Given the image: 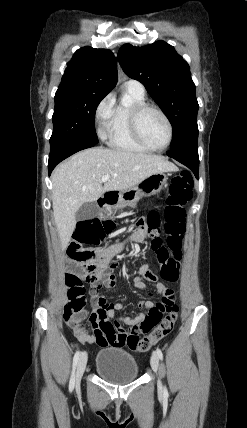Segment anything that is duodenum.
I'll use <instances>...</instances> for the list:
<instances>
[{
    "label": "duodenum",
    "instance_id": "duodenum-1",
    "mask_svg": "<svg viewBox=\"0 0 247 428\" xmlns=\"http://www.w3.org/2000/svg\"><path fill=\"white\" fill-rule=\"evenodd\" d=\"M117 193L115 192H109V193H105L103 196H101L98 199V204L100 207H108L111 206L112 204H114L117 200Z\"/></svg>",
    "mask_w": 247,
    "mask_h": 428
}]
</instances>
